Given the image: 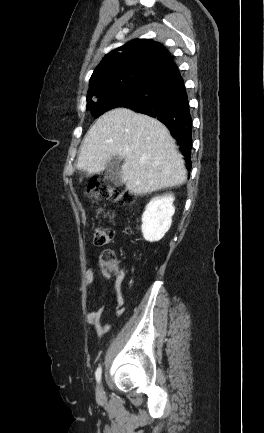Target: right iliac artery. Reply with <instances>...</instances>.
I'll return each mask as SVG.
<instances>
[{
  "label": "right iliac artery",
  "instance_id": "1",
  "mask_svg": "<svg viewBox=\"0 0 264 433\" xmlns=\"http://www.w3.org/2000/svg\"><path fill=\"white\" fill-rule=\"evenodd\" d=\"M101 374H102V369H101V367H98L97 370H96V372H95V376H96L97 382H100V380H101Z\"/></svg>",
  "mask_w": 264,
  "mask_h": 433
}]
</instances>
